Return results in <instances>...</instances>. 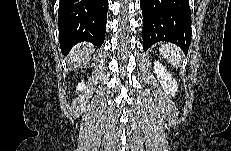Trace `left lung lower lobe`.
Masks as SVG:
<instances>
[{"label": "left lung lower lobe", "mask_w": 231, "mask_h": 151, "mask_svg": "<svg viewBox=\"0 0 231 151\" xmlns=\"http://www.w3.org/2000/svg\"><path fill=\"white\" fill-rule=\"evenodd\" d=\"M143 14V49L158 41L181 47L191 43V10L188 0H140Z\"/></svg>", "instance_id": "left-lung-lower-lobe-1"}]
</instances>
